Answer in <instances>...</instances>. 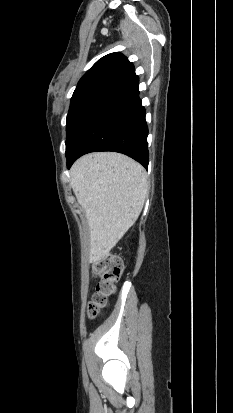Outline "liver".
Segmentation results:
<instances>
[{
  "instance_id": "obj_1",
  "label": "liver",
  "mask_w": 233,
  "mask_h": 413,
  "mask_svg": "<svg viewBox=\"0 0 233 413\" xmlns=\"http://www.w3.org/2000/svg\"><path fill=\"white\" fill-rule=\"evenodd\" d=\"M70 175L89 226V260L101 261L141 213L148 195L146 171L123 154L97 152L79 158Z\"/></svg>"
}]
</instances>
